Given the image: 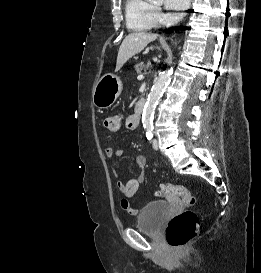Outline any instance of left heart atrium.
I'll list each match as a JSON object with an SVG mask.
<instances>
[{
  "label": "left heart atrium",
  "mask_w": 261,
  "mask_h": 273,
  "mask_svg": "<svg viewBox=\"0 0 261 273\" xmlns=\"http://www.w3.org/2000/svg\"><path fill=\"white\" fill-rule=\"evenodd\" d=\"M190 0H165V7L171 11V17L178 19L187 8Z\"/></svg>",
  "instance_id": "obj_1"
}]
</instances>
